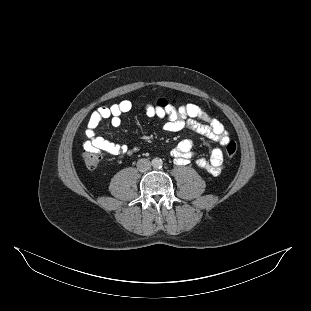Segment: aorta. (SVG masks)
Returning <instances> with one entry per match:
<instances>
[{"mask_svg": "<svg viewBox=\"0 0 311 311\" xmlns=\"http://www.w3.org/2000/svg\"><path fill=\"white\" fill-rule=\"evenodd\" d=\"M151 163L154 168H160L163 165V161L160 158H154Z\"/></svg>", "mask_w": 311, "mask_h": 311, "instance_id": "1", "label": "aorta"}]
</instances>
